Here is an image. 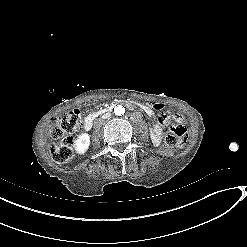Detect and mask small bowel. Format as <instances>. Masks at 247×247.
I'll use <instances>...</instances> for the list:
<instances>
[{
	"mask_svg": "<svg viewBox=\"0 0 247 247\" xmlns=\"http://www.w3.org/2000/svg\"><path fill=\"white\" fill-rule=\"evenodd\" d=\"M142 110L146 113L148 117H153L156 112V110L152 107L151 103L142 105ZM174 119L177 122L183 121V119L177 115L174 116ZM163 127L164 124L161 122H157L153 125L151 129V139L154 145H159L161 143L163 137Z\"/></svg>",
	"mask_w": 247,
	"mask_h": 247,
	"instance_id": "1",
	"label": "small bowel"
}]
</instances>
